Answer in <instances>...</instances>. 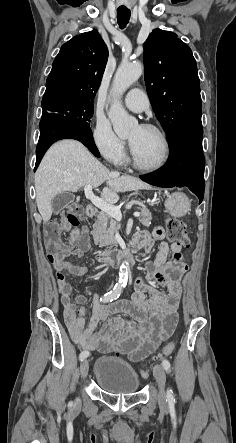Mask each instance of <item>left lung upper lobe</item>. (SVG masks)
I'll use <instances>...</instances> for the list:
<instances>
[{
    "label": "left lung upper lobe",
    "mask_w": 236,
    "mask_h": 443,
    "mask_svg": "<svg viewBox=\"0 0 236 443\" xmlns=\"http://www.w3.org/2000/svg\"><path fill=\"white\" fill-rule=\"evenodd\" d=\"M147 92L169 140L181 127L201 123L202 101L190 47L170 31L155 29L144 43Z\"/></svg>",
    "instance_id": "1"
}]
</instances>
